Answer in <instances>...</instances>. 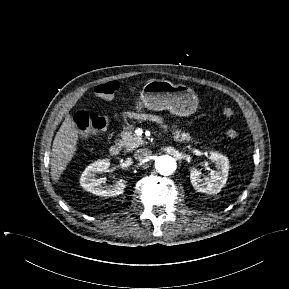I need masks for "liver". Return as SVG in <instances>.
<instances>
[{"label":"liver","instance_id":"obj_1","mask_svg":"<svg viewBox=\"0 0 289 289\" xmlns=\"http://www.w3.org/2000/svg\"><path fill=\"white\" fill-rule=\"evenodd\" d=\"M78 141V130L71 116L68 115L57 132L52 145L51 176L57 182L68 163L72 160Z\"/></svg>","mask_w":289,"mask_h":289}]
</instances>
